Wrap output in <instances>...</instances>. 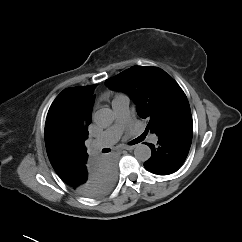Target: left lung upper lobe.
<instances>
[{"label":"left lung upper lobe","mask_w":242,"mask_h":242,"mask_svg":"<svg viewBox=\"0 0 242 242\" xmlns=\"http://www.w3.org/2000/svg\"><path fill=\"white\" fill-rule=\"evenodd\" d=\"M111 89L131 94L137 113L148 119L145 132L158 134L167 127L191 118L187 97L178 83L157 67L133 66L105 81Z\"/></svg>","instance_id":"1"}]
</instances>
